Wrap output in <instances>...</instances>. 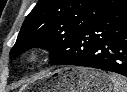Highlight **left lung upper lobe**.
<instances>
[{
    "instance_id": "obj_1",
    "label": "left lung upper lobe",
    "mask_w": 127,
    "mask_h": 92,
    "mask_svg": "<svg viewBox=\"0 0 127 92\" xmlns=\"http://www.w3.org/2000/svg\"><path fill=\"white\" fill-rule=\"evenodd\" d=\"M124 1L39 0L26 17L10 54H21L32 46L43 47L51 51L53 61L67 50L79 32Z\"/></svg>"
}]
</instances>
